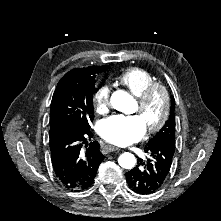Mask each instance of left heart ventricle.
Returning <instances> with one entry per match:
<instances>
[{
  "instance_id": "b2bd125f",
  "label": "left heart ventricle",
  "mask_w": 221,
  "mask_h": 221,
  "mask_svg": "<svg viewBox=\"0 0 221 221\" xmlns=\"http://www.w3.org/2000/svg\"><path fill=\"white\" fill-rule=\"evenodd\" d=\"M163 109V98L161 95H155L150 101L147 109L144 112H140L138 105L132 114L140 117L141 121L147 128L149 125L155 124Z\"/></svg>"
}]
</instances>
